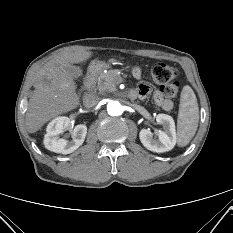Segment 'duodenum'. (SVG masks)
Returning a JSON list of instances; mask_svg holds the SVG:
<instances>
[{
	"mask_svg": "<svg viewBox=\"0 0 233 233\" xmlns=\"http://www.w3.org/2000/svg\"><path fill=\"white\" fill-rule=\"evenodd\" d=\"M99 71H100V68L98 65H93L89 69V71L85 77V80H84V89L86 91H89L92 88L94 81H95V78H96ZM130 97L131 98L136 97L135 91L130 92Z\"/></svg>",
	"mask_w": 233,
	"mask_h": 233,
	"instance_id": "410a0bca",
	"label": "duodenum"
}]
</instances>
